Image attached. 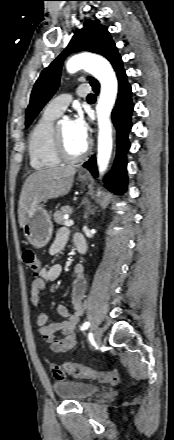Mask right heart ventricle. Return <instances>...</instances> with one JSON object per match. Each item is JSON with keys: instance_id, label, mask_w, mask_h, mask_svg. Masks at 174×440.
I'll list each match as a JSON object with an SVG mask.
<instances>
[{"instance_id": "1", "label": "right heart ventricle", "mask_w": 174, "mask_h": 440, "mask_svg": "<svg viewBox=\"0 0 174 440\" xmlns=\"http://www.w3.org/2000/svg\"><path fill=\"white\" fill-rule=\"evenodd\" d=\"M57 117L58 114L45 110L30 131L28 153L30 165L36 170L54 168L62 163L55 151L54 120Z\"/></svg>"}]
</instances>
